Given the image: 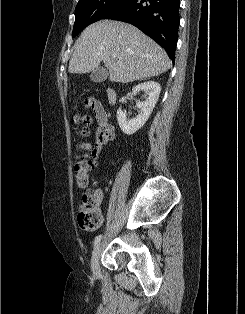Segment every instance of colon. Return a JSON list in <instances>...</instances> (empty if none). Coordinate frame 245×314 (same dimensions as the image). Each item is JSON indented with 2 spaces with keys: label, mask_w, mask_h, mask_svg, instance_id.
I'll return each instance as SVG.
<instances>
[{
  "label": "colon",
  "mask_w": 245,
  "mask_h": 314,
  "mask_svg": "<svg viewBox=\"0 0 245 314\" xmlns=\"http://www.w3.org/2000/svg\"><path fill=\"white\" fill-rule=\"evenodd\" d=\"M90 99V98H89ZM87 99L85 107L90 103ZM74 122L79 126L78 135L85 138L89 133L90 117L85 113L75 115ZM80 151L74 167V178L80 188H86L89 185L90 173L93 164L89 158L91 146L88 142L82 141L78 145ZM100 195L98 193H85L82 195L79 204L78 224L85 231L95 230L101 223Z\"/></svg>",
  "instance_id": "obj_1"
}]
</instances>
